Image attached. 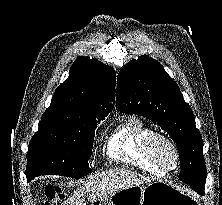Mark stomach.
<instances>
[{"label": "stomach", "instance_id": "stomach-1", "mask_svg": "<svg viewBox=\"0 0 222 205\" xmlns=\"http://www.w3.org/2000/svg\"><path fill=\"white\" fill-rule=\"evenodd\" d=\"M92 205H200L196 194L186 192L165 181L118 190Z\"/></svg>", "mask_w": 222, "mask_h": 205}]
</instances>
